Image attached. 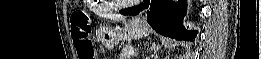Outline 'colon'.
<instances>
[{"instance_id": "colon-1", "label": "colon", "mask_w": 261, "mask_h": 59, "mask_svg": "<svg viewBox=\"0 0 261 59\" xmlns=\"http://www.w3.org/2000/svg\"><path fill=\"white\" fill-rule=\"evenodd\" d=\"M71 36L79 59H96L90 39L92 27L81 13H73L70 21Z\"/></svg>"}]
</instances>
